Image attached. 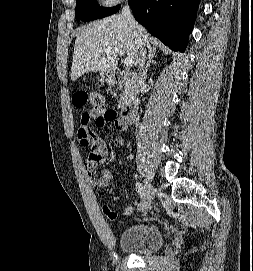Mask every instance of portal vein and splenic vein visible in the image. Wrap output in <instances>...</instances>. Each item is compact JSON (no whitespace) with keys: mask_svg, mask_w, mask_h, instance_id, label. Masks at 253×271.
<instances>
[{"mask_svg":"<svg viewBox=\"0 0 253 271\" xmlns=\"http://www.w3.org/2000/svg\"><path fill=\"white\" fill-rule=\"evenodd\" d=\"M100 52L101 53H103V52H105V53H114L115 55H120V56H123L125 54L124 51H122L121 49H118V48L101 49ZM124 64H125L126 67H130L133 64V61L130 58H125Z\"/></svg>","mask_w":253,"mask_h":271,"instance_id":"obj_1","label":"portal vein and splenic vein"}]
</instances>
